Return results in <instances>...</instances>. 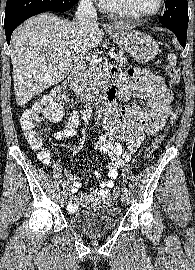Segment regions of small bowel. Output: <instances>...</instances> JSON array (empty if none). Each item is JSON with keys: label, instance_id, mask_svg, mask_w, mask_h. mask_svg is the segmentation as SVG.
Masks as SVG:
<instances>
[{"label": "small bowel", "instance_id": "1", "mask_svg": "<svg viewBox=\"0 0 195 270\" xmlns=\"http://www.w3.org/2000/svg\"><path fill=\"white\" fill-rule=\"evenodd\" d=\"M113 77L120 83V101L115 103L107 112L105 118V134L97 148L107 154L110 161L107 165V179L102 180L98 186L89 193L78 194L79 178L71 180V200L67 206L69 212H75L78 205L90 202L111 201L110 190L115 186L119 176V169L130 159L134 152L148 136L156 134L163 126L171 113L172 92L167 88L164 79L149 71L130 69L124 74L115 72ZM134 94L146 99L147 109L141 110L135 105H125L123 100ZM79 117L73 114L69 117L67 125L54 133L56 139L73 137L77 133ZM122 143L128 147L124 152ZM95 177L101 179L102 175L95 172Z\"/></svg>", "mask_w": 195, "mask_h": 270}]
</instances>
